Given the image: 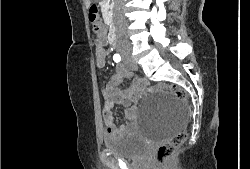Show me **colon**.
<instances>
[{
  "label": "colon",
  "instance_id": "obj_1",
  "mask_svg": "<svg viewBox=\"0 0 250 169\" xmlns=\"http://www.w3.org/2000/svg\"><path fill=\"white\" fill-rule=\"evenodd\" d=\"M88 20L95 32L102 30V24L99 17V12L96 7H91L88 11ZM172 93L173 96L182 101V104H187L186 111H193L194 102H189L190 97L185 88H178L175 85H152L148 88V92L153 93V90H166ZM190 113V112H188ZM185 139H188V130H179L177 134H171L170 138L163 141V145H159V150H155V160L160 169H176V164L172 161V156L177 155V150H182Z\"/></svg>",
  "mask_w": 250,
  "mask_h": 169
}]
</instances>
